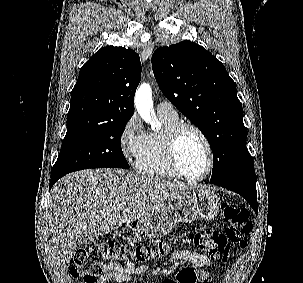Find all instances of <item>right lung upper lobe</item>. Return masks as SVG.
Wrapping results in <instances>:
<instances>
[{
    "instance_id": "obj_1",
    "label": "right lung upper lobe",
    "mask_w": 303,
    "mask_h": 283,
    "mask_svg": "<svg viewBox=\"0 0 303 283\" xmlns=\"http://www.w3.org/2000/svg\"><path fill=\"white\" fill-rule=\"evenodd\" d=\"M140 58L124 47L101 48L81 68L71 93L68 119L125 121L134 114Z\"/></svg>"
}]
</instances>
